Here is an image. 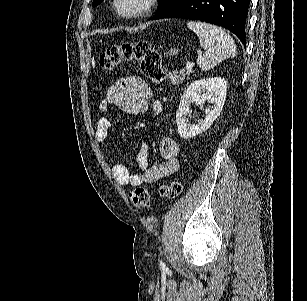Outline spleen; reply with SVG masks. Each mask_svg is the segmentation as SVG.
I'll use <instances>...</instances> for the list:
<instances>
[{
  "mask_svg": "<svg viewBox=\"0 0 307 301\" xmlns=\"http://www.w3.org/2000/svg\"><path fill=\"white\" fill-rule=\"evenodd\" d=\"M187 26L199 36L200 46L206 48L199 60L201 70H211L225 58L236 56V44L232 36L220 26L208 22H194V20H189Z\"/></svg>",
  "mask_w": 307,
  "mask_h": 301,
  "instance_id": "obj_1",
  "label": "spleen"
}]
</instances>
